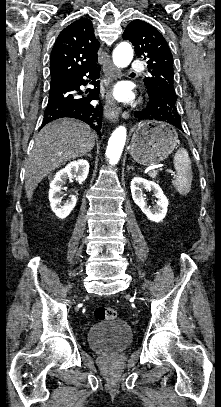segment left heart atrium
<instances>
[{
	"label": "left heart atrium",
	"mask_w": 221,
	"mask_h": 407,
	"mask_svg": "<svg viewBox=\"0 0 221 407\" xmlns=\"http://www.w3.org/2000/svg\"><path fill=\"white\" fill-rule=\"evenodd\" d=\"M114 96L120 100H127L130 98V91L124 84H119L114 88Z\"/></svg>",
	"instance_id": "39dd6f15"
}]
</instances>
